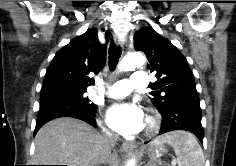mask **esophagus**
<instances>
[{"label": "esophagus", "instance_id": "34e87169", "mask_svg": "<svg viewBox=\"0 0 236 166\" xmlns=\"http://www.w3.org/2000/svg\"><path fill=\"white\" fill-rule=\"evenodd\" d=\"M118 44L121 46L123 54H126L128 51L127 43L124 42L123 40H119ZM133 148H135V143H133V142H124L121 146V149L123 151L132 150Z\"/></svg>", "mask_w": 236, "mask_h": 166}]
</instances>
